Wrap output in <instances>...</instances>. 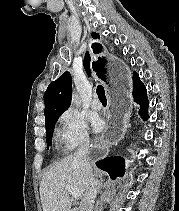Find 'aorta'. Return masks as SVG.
Segmentation results:
<instances>
[{"mask_svg":"<svg viewBox=\"0 0 179 211\" xmlns=\"http://www.w3.org/2000/svg\"><path fill=\"white\" fill-rule=\"evenodd\" d=\"M72 103L75 104L76 106H78L80 104L78 101V97L75 94H73Z\"/></svg>","mask_w":179,"mask_h":211,"instance_id":"obj_1","label":"aorta"}]
</instances>
